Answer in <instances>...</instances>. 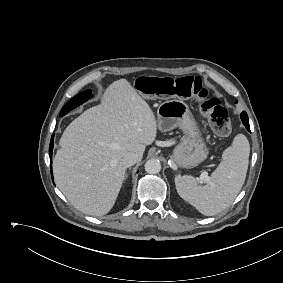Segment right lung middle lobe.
I'll return each mask as SVG.
<instances>
[{
  "instance_id": "dd1d6c3e",
  "label": "right lung middle lobe",
  "mask_w": 283,
  "mask_h": 283,
  "mask_svg": "<svg viewBox=\"0 0 283 283\" xmlns=\"http://www.w3.org/2000/svg\"><path fill=\"white\" fill-rule=\"evenodd\" d=\"M92 94H91V90H85L83 92H81L80 94H78L77 96H75L73 99H71L61 110L60 115L63 116L65 114H67L70 110L76 108L77 106H79L80 104L84 103L85 101H87L89 98H91Z\"/></svg>"
}]
</instances>
